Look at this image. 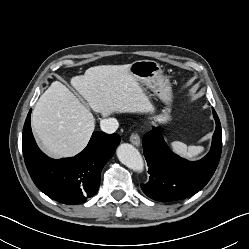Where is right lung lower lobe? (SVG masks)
I'll use <instances>...</instances> for the list:
<instances>
[{
    "instance_id": "obj_1",
    "label": "right lung lower lobe",
    "mask_w": 249,
    "mask_h": 249,
    "mask_svg": "<svg viewBox=\"0 0 249 249\" xmlns=\"http://www.w3.org/2000/svg\"><path fill=\"white\" fill-rule=\"evenodd\" d=\"M31 110L26 118L22 148L26 167L35 185L50 198L75 205L92 197L100 185L104 165L120 143L118 134L93 133L87 147L71 158L51 159L40 151L30 126Z\"/></svg>"
}]
</instances>
